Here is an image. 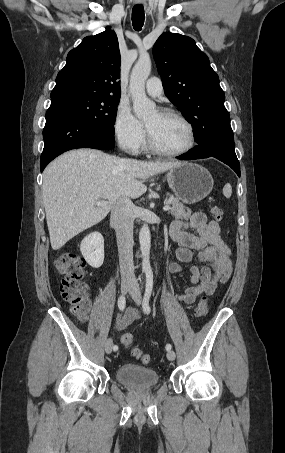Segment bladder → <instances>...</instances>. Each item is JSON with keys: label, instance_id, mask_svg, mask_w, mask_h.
I'll list each match as a JSON object with an SVG mask.
<instances>
[{"label": "bladder", "instance_id": "bladder-1", "mask_svg": "<svg viewBox=\"0 0 285 453\" xmlns=\"http://www.w3.org/2000/svg\"><path fill=\"white\" fill-rule=\"evenodd\" d=\"M118 382L136 389H146L159 383V374L152 368L126 363L115 370Z\"/></svg>", "mask_w": 285, "mask_h": 453}]
</instances>
